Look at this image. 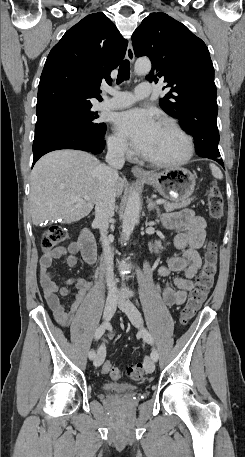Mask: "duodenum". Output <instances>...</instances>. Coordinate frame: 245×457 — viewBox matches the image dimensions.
Returning <instances> with one entry per match:
<instances>
[{
    "mask_svg": "<svg viewBox=\"0 0 245 457\" xmlns=\"http://www.w3.org/2000/svg\"><path fill=\"white\" fill-rule=\"evenodd\" d=\"M84 260L94 263L97 260V246L93 233L89 228H84L78 240Z\"/></svg>",
    "mask_w": 245,
    "mask_h": 457,
    "instance_id": "duodenum-1",
    "label": "duodenum"
}]
</instances>
